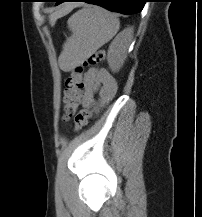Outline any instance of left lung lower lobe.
<instances>
[{"label": "left lung lower lobe", "instance_id": "0a47b994", "mask_svg": "<svg viewBox=\"0 0 202 217\" xmlns=\"http://www.w3.org/2000/svg\"><path fill=\"white\" fill-rule=\"evenodd\" d=\"M56 5L66 1L86 2L102 6L110 11L130 15L142 11L146 0H54Z\"/></svg>", "mask_w": 202, "mask_h": 217}]
</instances>
